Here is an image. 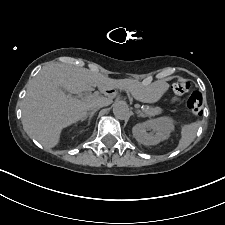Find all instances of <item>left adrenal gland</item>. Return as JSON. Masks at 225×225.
<instances>
[{"mask_svg":"<svg viewBox=\"0 0 225 225\" xmlns=\"http://www.w3.org/2000/svg\"><path fill=\"white\" fill-rule=\"evenodd\" d=\"M138 117H146L140 110L137 111Z\"/></svg>","mask_w":225,"mask_h":225,"instance_id":"a2214340","label":"left adrenal gland"}]
</instances>
